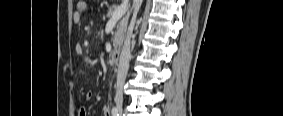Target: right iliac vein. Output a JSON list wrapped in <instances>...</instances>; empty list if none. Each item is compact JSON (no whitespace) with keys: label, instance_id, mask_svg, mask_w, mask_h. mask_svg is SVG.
<instances>
[{"label":"right iliac vein","instance_id":"1","mask_svg":"<svg viewBox=\"0 0 283 116\" xmlns=\"http://www.w3.org/2000/svg\"><path fill=\"white\" fill-rule=\"evenodd\" d=\"M119 112L122 113V109H119Z\"/></svg>","mask_w":283,"mask_h":116}]
</instances>
